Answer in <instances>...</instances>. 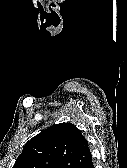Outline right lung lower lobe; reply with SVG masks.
<instances>
[{"instance_id":"98d812e1","label":"right lung lower lobe","mask_w":127,"mask_h":168,"mask_svg":"<svg viewBox=\"0 0 127 168\" xmlns=\"http://www.w3.org/2000/svg\"><path fill=\"white\" fill-rule=\"evenodd\" d=\"M75 168H94L92 158L85 160L77 165Z\"/></svg>"}]
</instances>
